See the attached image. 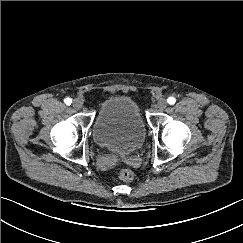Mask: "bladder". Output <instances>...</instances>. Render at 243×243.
Wrapping results in <instances>:
<instances>
[{"label":"bladder","mask_w":243,"mask_h":243,"mask_svg":"<svg viewBox=\"0 0 243 243\" xmlns=\"http://www.w3.org/2000/svg\"><path fill=\"white\" fill-rule=\"evenodd\" d=\"M94 142L123 152L140 148L146 128L137 103L127 96H111L101 104L92 126Z\"/></svg>","instance_id":"bladder-1"}]
</instances>
